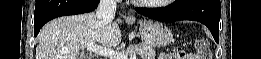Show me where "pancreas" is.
Segmentation results:
<instances>
[{
  "label": "pancreas",
  "mask_w": 261,
  "mask_h": 59,
  "mask_svg": "<svg viewBox=\"0 0 261 59\" xmlns=\"http://www.w3.org/2000/svg\"><path fill=\"white\" fill-rule=\"evenodd\" d=\"M125 54L129 56L137 54L141 59H155L156 56L155 50L146 44L128 46L125 50Z\"/></svg>",
  "instance_id": "1"
}]
</instances>
